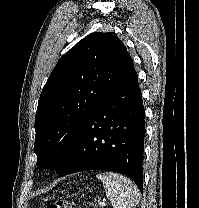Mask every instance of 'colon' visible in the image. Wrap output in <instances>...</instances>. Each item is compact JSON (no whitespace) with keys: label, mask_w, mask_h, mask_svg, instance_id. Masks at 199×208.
Segmentation results:
<instances>
[{"label":"colon","mask_w":199,"mask_h":208,"mask_svg":"<svg viewBox=\"0 0 199 208\" xmlns=\"http://www.w3.org/2000/svg\"><path fill=\"white\" fill-rule=\"evenodd\" d=\"M46 208H78L75 203L64 200V199H57L53 202L47 204Z\"/></svg>","instance_id":"obj_1"}]
</instances>
